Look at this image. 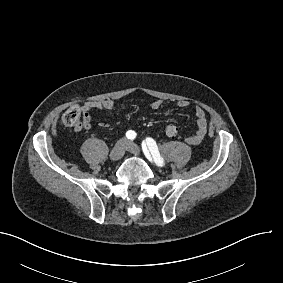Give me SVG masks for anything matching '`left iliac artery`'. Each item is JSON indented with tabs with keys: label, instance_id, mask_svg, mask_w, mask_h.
<instances>
[{
	"label": "left iliac artery",
	"instance_id": "left-iliac-artery-1",
	"mask_svg": "<svg viewBox=\"0 0 283 283\" xmlns=\"http://www.w3.org/2000/svg\"><path fill=\"white\" fill-rule=\"evenodd\" d=\"M142 149L147 159L151 161L153 158L158 166L164 165V160L160 156L156 142L152 138H146V142L145 141L142 142Z\"/></svg>",
	"mask_w": 283,
	"mask_h": 283
}]
</instances>
